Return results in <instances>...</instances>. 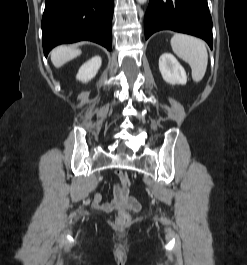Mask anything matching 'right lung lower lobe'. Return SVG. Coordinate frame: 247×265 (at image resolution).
Wrapping results in <instances>:
<instances>
[{"label":"right lung lower lobe","instance_id":"98d812e1","mask_svg":"<svg viewBox=\"0 0 247 265\" xmlns=\"http://www.w3.org/2000/svg\"><path fill=\"white\" fill-rule=\"evenodd\" d=\"M114 0H45L42 39L45 56L55 46L89 40L111 50Z\"/></svg>","mask_w":247,"mask_h":265}]
</instances>
